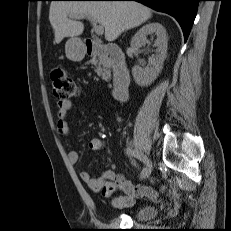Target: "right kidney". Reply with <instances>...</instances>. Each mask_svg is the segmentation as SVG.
<instances>
[{
    "instance_id": "1",
    "label": "right kidney",
    "mask_w": 231,
    "mask_h": 231,
    "mask_svg": "<svg viewBox=\"0 0 231 231\" xmlns=\"http://www.w3.org/2000/svg\"><path fill=\"white\" fill-rule=\"evenodd\" d=\"M156 35L154 47L156 55L150 57L149 65L145 68L134 66L132 74L135 82L141 86H148L157 78L163 68V62L167 54V34L166 29L159 23H149L140 28L131 40V47L138 51L141 47L149 44L147 35Z\"/></svg>"
}]
</instances>
